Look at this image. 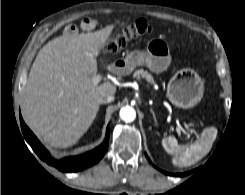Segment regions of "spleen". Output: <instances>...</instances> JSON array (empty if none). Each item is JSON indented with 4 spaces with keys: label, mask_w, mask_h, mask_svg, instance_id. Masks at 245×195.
Segmentation results:
<instances>
[{
    "label": "spleen",
    "mask_w": 245,
    "mask_h": 195,
    "mask_svg": "<svg viewBox=\"0 0 245 195\" xmlns=\"http://www.w3.org/2000/svg\"><path fill=\"white\" fill-rule=\"evenodd\" d=\"M217 130L214 127L205 129L201 138L196 140L189 147H180L175 137L170 136L162 139L164 149L170 154H179L173 159V164L180 167H187L198 162L207 154L215 140Z\"/></svg>",
    "instance_id": "1"
}]
</instances>
